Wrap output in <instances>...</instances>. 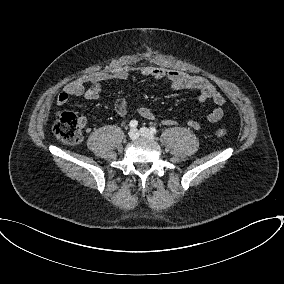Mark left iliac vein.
<instances>
[{"mask_svg": "<svg viewBox=\"0 0 284 284\" xmlns=\"http://www.w3.org/2000/svg\"><path fill=\"white\" fill-rule=\"evenodd\" d=\"M140 135L149 139H154V135L150 132V130L146 127L140 128Z\"/></svg>", "mask_w": 284, "mask_h": 284, "instance_id": "obj_1", "label": "left iliac vein"}]
</instances>
